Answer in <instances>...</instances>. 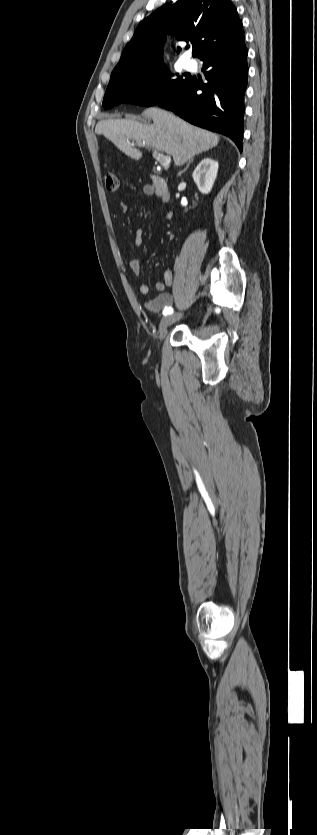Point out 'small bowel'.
Listing matches in <instances>:
<instances>
[{
    "label": "small bowel",
    "instance_id": "obj_1",
    "mask_svg": "<svg viewBox=\"0 0 317 835\" xmlns=\"http://www.w3.org/2000/svg\"><path fill=\"white\" fill-rule=\"evenodd\" d=\"M150 189L148 187L144 188V192L147 194L149 193ZM121 210L126 212L128 210V205L126 203H121L120 205ZM167 216H171V212L167 213ZM143 229L139 227L136 230L135 235V246L140 247L142 245L143 239ZM130 270L135 276H138L140 273L141 265L138 259H132L129 263ZM173 284V273L170 269H166L164 272L163 279L161 281L156 282L155 289L159 292L157 297L151 300H145L143 302V307L150 313L158 314L167 307H171L173 305V297L170 293L166 292L165 289L171 287ZM149 292V288L145 284H141L139 287V293L141 295H147Z\"/></svg>",
    "mask_w": 317,
    "mask_h": 835
}]
</instances>
